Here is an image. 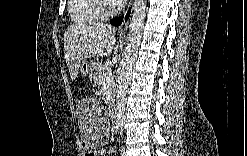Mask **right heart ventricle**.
<instances>
[{
    "label": "right heart ventricle",
    "instance_id": "right-heart-ventricle-1",
    "mask_svg": "<svg viewBox=\"0 0 247 156\" xmlns=\"http://www.w3.org/2000/svg\"><path fill=\"white\" fill-rule=\"evenodd\" d=\"M98 1L72 0L69 2V16L75 25H85L98 22L100 17L96 10Z\"/></svg>",
    "mask_w": 247,
    "mask_h": 156
}]
</instances>
